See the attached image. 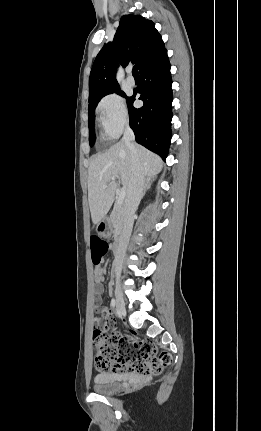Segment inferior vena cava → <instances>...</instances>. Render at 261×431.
Listing matches in <instances>:
<instances>
[{"label":"inferior vena cava","instance_id":"1","mask_svg":"<svg viewBox=\"0 0 261 431\" xmlns=\"http://www.w3.org/2000/svg\"><path fill=\"white\" fill-rule=\"evenodd\" d=\"M134 139V132L129 126H127L122 140L131 152L132 180L124 201L123 230L118 242V249L116 253L117 260H122L125 255L134 223V214L138 208L141 198L143 197L145 186V176L139 160L137 149L133 143ZM120 274L121 265L119 264L116 267V275L120 276Z\"/></svg>","mask_w":261,"mask_h":431}]
</instances>
